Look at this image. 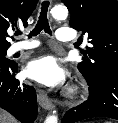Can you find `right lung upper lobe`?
<instances>
[{
    "mask_svg": "<svg viewBox=\"0 0 118 123\" xmlns=\"http://www.w3.org/2000/svg\"><path fill=\"white\" fill-rule=\"evenodd\" d=\"M38 0H0V50H7L10 42L7 30L17 25H28V18L35 10Z\"/></svg>",
    "mask_w": 118,
    "mask_h": 123,
    "instance_id": "obj_1",
    "label": "right lung upper lobe"
}]
</instances>
